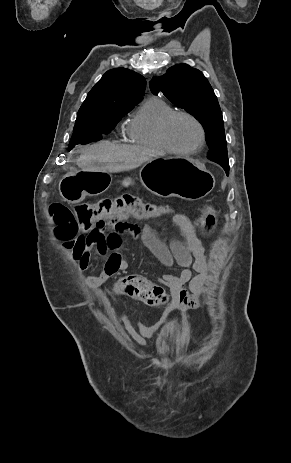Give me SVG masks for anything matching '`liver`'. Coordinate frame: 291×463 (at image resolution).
<instances>
[{
	"instance_id": "liver-1",
	"label": "liver",
	"mask_w": 291,
	"mask_h": 463,
	"mask_svg": "<svg viewBox=\"0 0 291 463\" xmlns=\"http://www.w3.org/2000/svg\"><path fill=\"white\" fill-rule=\"evenodd\" d=\"M163 155L155 149L101 141L85 147L76 162L82 170L112 173L135 169Z\"/></svg>"
}]
</instances>
